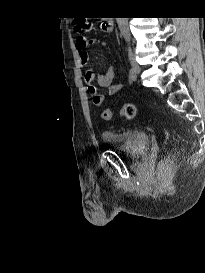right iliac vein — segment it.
Returning a JSON list of instances; mask_svg holds the SVG:
<instances>
[{
    "instance_id": "63e3f726",
    "label": "right iliac vein",
    "mask_w": 205,
    "mask_h": 273,
    "mask_svg": "<svg viewBox=\"0 0 205 273\" xmlns=\"http://www.w3.org/2000/svg\"><path fill=\"white\" fill-rule=\"evenodd\" d=\"M129 62H130V65H131L134 73L136 75H138L141 72V68H140L138 62L136 61L135 56L132 52H129Z\"/></svg>"
}]
</instances>
